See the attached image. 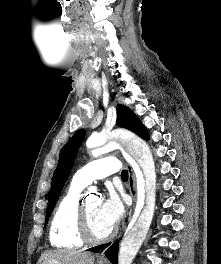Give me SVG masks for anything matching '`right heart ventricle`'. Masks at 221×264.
<instances>
[{"label": "right heart ventricle", "mask_w": 221, "mask_h": 264, "mask_svg": "<svg viewBox=\"0 0 221 264\" xmlns=\"http://www.w3.org/2000/svg\"><path fill=\"white\" fill-rule=\"evenodd\" d=\"M83 188L72 181L55 209L49 232V239L54 247L77 249L84 244L76 226L77 209Z\"/></svg>", "instance_id": "obj_1"}]
</instances>
